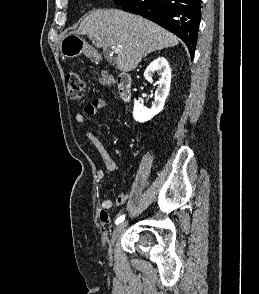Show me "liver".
Here are the masks:
<instances>
[{
	"mask_svg": "<svg viewBox=\"0 0 259 294\" xmlns=\"http://www.w3.org/2000/svg\"><path fill=\"white\" fill-rule=\"evenodd\" d=\"M75 32L88 35L97 48L120 46L115 64L123 72L134 70L148 54L179 42L175 35L159 25L117 9L92 11Z\"/></svg>",
	"mask_w": 259,
	"mask_h": 294,
	"instance_id": "6515ba94",
	"label": "liver"
}]
</instances>
